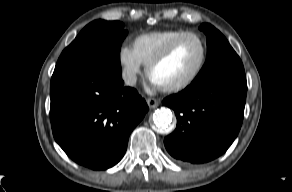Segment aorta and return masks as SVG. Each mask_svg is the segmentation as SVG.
I'll return each instance as SVG.
<instances>
[{"mask_svg": "<svg viewBox=\"0 0 292 192\" xmlns=\"http://www.w3.org/2000/svg\"><path fill=\"white\" fill-rule=\"evenodd\" d=\"M172 119V112L166 108L157 109L153 114V122L159 133L166 134L172 130Z\"/></svg>", "mask_w": 292, "mask_h": 192, "instance_id": "aorta-1", "label": "aorta"}]
</instances>
